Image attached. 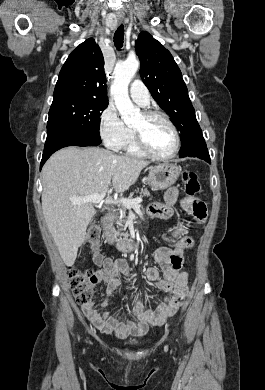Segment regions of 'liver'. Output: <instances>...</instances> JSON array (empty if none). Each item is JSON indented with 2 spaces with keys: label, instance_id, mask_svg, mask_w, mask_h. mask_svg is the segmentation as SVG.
Masks as SVG:
<instances>
[{
  "label": "liver",
  "instance_id": "liver-1",
  "mask_svg": "<svg viewBox=\"0 0 265 390\" xmlns=\"http://www.w3.org/2000/svg\"><path fill=\"white\" fill-rule=\"evenodd\" d=\"M149 162L116 155L99 147H66L54 153L42 169V210L47 227L66 266H72L86 229L95 214L91 203L73 204L82 198L124 192Z\"/></svg>",
  "mask_w": 265,
  "mask_h": 390
}]
</instances>
